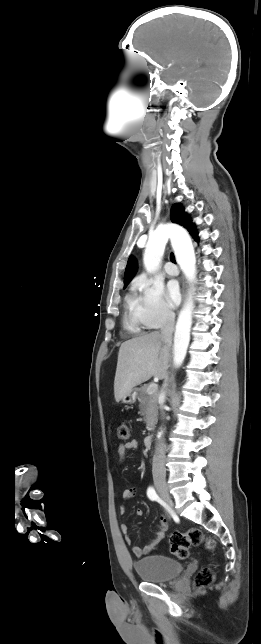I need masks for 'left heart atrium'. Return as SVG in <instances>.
I'll list each match as a JSON object with an SVG mask.
<instances>
[{"mask_svg":"<svg viewBox=\"0 0 261 644\" xmlns=\"http://www.w3.org/2000/svg\"><path fill=\"white\" fill-rule=\"evenodd\" d=\"M167 295L171 306H176L180 302V288L177 281L172 280L167 285Z\"/></svg>","mask_w":261,"mask_h":644,"instance_id":"obj_1","label":"left heart atrium"}]
</instances>
